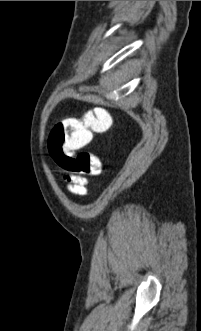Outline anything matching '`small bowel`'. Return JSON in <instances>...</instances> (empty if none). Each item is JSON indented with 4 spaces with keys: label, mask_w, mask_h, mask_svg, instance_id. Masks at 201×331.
<instances>
[{
    "label": "small bowel",
    "mask_w": 201,
    "mask_h": 331,
    "mask_svg": "<svg viewBox=\"0 0 201 331\" xmlns=\"http://www.w3.org/2000/svg\"><path fill=\"white\" fill-rule=\"evenodd\" d=\"M65 180L68 182V190L79 196H84L87 193L86 184L87 180L85 178L76 175H66Z\"/></svg>",
    "instance_id": "c3829d8e"
}]
</instances>
